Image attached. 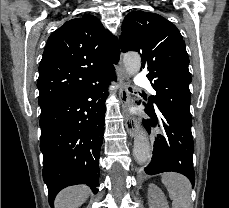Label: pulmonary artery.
Returning a JSON list of instances; mask_svg holds the SVG:
<instances>
[{"label": "pulmonary artery", "instance_id": "obj_1", "mask_svg": "<svg viewBox=\"0 0 229 208\" xmlns=\"http://www.w3.org/2000/svg\"><path fill=\"white\" fill-rule=\"evenodd\" d=\"M139 76H142V73H139ZM135 82H136V86H139V87H148L149 86L150 79L149 78H136L135 79Z\"/></svg>", "mask_w": 229, "mask_h": 208}]
</instances>
